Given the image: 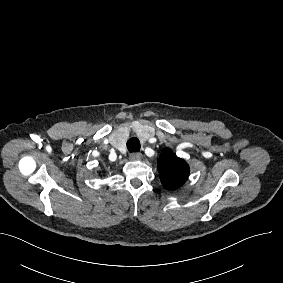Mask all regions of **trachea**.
Listing matches in <instances>:
<instances>
[{
    "instance_id": "3493384b",
    "label": "trachea",
    "mask_w": 283,
    "mask_h": 283,
    "mask_svg": "<svg viewBox=\"0 0 283 283\" xmlns=\"http://www.w3.org/2000/svg\"><path fill=\"white\" fill-rule=\"evenodd\" d=\"M141 146L137 137H132L127 141V149L129 152H139Z\"/></svg>"
}]
</instances>
